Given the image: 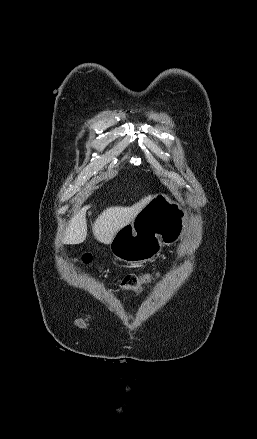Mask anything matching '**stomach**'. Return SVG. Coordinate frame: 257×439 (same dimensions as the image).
I'll use <instances>...</instances> for the list:
<instances>
[{
    "instance_id": "0dacf381",
    "label": "stomach",
    "mask_w": 257,
    "mask_h": 439,
    "mask_svg": "<svg viewBox=\"0 0 257 439\" xmlns=\"http://www.w3.org/2000/svg\"><path fill=\"white\" fill-rule=\"evenodd\" d=\"M188 212L166 194L154 196L134 220L110 242V251L127 263H143L157 256L164 244L177 242L186 232Z\"/></svg>"
}]
</instances>
